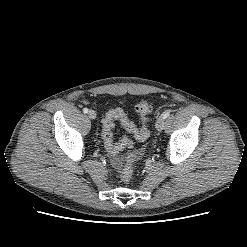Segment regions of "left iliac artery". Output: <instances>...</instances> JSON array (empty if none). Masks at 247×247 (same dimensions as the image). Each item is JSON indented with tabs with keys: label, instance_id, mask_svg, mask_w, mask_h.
Returning a JSON list of instances; mask_svg holds the SVG:
<instances>
[{
	"label": "left iliac artery",
	"instance_id": "1",
	"mask_svg": "<svg viewBox=\"0 0 247 247\" xmlns=\"http://www.w3.org/2000/svg\"><path fill=\"white\" fill-rule=\"evenodd\" d=\"M170 115V111H166L162 114V117L166 119Z\"/></svg>",
	"mask_w": 247,
	"mask_h": 247
}]
</instances>
